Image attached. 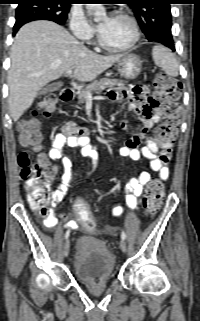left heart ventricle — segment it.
Listing matches in <instances>:
<instances>
[{
    "label": "left heart ventricle",
    "mask_w": 200,
    "mask_h": 321,
    "mask_svg": "<svg viewBox=\"0 0 200 321\" xmlns=\"http://www.w3.org/2000/svg\"><path fill=\"white\" fill-rule=\"evenodd\" d=\"M107 17L104 18L106 20ZM104 40L111 46L120 47L127 45L133 37L131 23L122 17L112 16L106 27L100 31Z\"/></svg>",
    "instance_id": "b2bd125f"
}]
</instances>
